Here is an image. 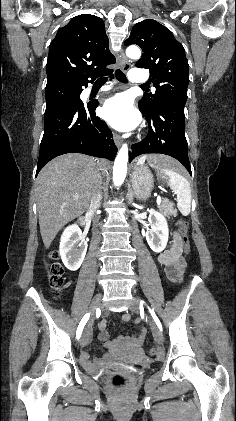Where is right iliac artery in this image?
<instances>
[{
    "instance_id": "right-iliac-artery-1",
    "label": "right iliac artery",
    "mask_w": 236,
    "mask_h": 421,
    "mask_svg": "<svg viewBox=\"0 0 236 421\" xmlns=\"http://www.w3.org/2000/svg\"><path fill=\"white\" fill-rule=\"evenodd\" d=\"M89 317H90L89 313L85 314L84 317L82 318L81 322L79 323V326H78L77 331H76V338L77 339H79L81 337L83 328H84L85 324L87 323Z\"/></svg>"
}]
</instances>
